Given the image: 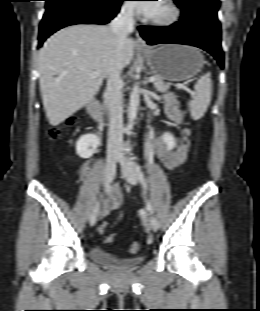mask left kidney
<instances>
[{"label": "left kidney", "mask_w": 260, "mask_h": 311, "mask_svg": "<svg viewBox=\"0 0 260 311\" xmlns=\"http://www.w3.org/2000/svg\"><path fill=\"white\" fill-rule=\"evenodd\" d=\"M162 139L165 142L168 150H171L175 147V138L172 134L166 132L163 134Z\"/></svg>", "instance_id": "obj_1"}]
</instances>
